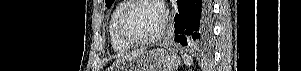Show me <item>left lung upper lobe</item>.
<instances>
[{
	"label": "left lung upper lobe",
	"mask_w": 301,
	"mask_h": 71,
	"mask_svg": "<svg viewBox=\"0 0 301 71\" xmlns=\"http://www.w3.org/2000/svg\"><path fill=\"white\" fill-rule=\"evenodd\" d=\"M115 0H105L106 6L110 7Z\"/></svg>",
	"instance_id": "1"
}]
</instances>
